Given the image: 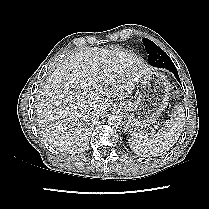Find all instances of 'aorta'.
I'll use <instances>...</instances> for the list:
<instances>
[{
    "mask_svg": "<svg viewBox=\"0 0 209 209\" xmlns=\"http://www.w3.org/2000/svg\"><path fill=\"white\" fill-rule=\"evenodd\" d=\"M107 123L113 127H118L122 124V116L117 113H112L107 116Z\"/></svg>",
    "mask_w": 209,
    "mask_h": 209,
    "instance_id": "1",
    "label": "aorta"
}]
</instances>
